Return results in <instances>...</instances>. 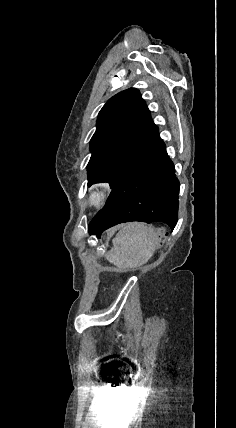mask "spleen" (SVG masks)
Returning a JSON list of instances; mask_svg holds the SVG:
<instances>
[{
	"label": "spleen",
	"mask_w": 236,
	"mask_h": 428,
	"mask_svg": "<svg viewBox=\"0 0 236 428\" xmlns=\"http://www.w3.org/2000/svg\"><path fill=\"white\" fill-rule=\"evenodd\" d=\"M156 234L147 224L129 222L113 240V250L106 254L107 260L118 268H138L151 258L156 244Z\"/></svg>",
	"instance_id": "obj_1"
}]
</instances>
